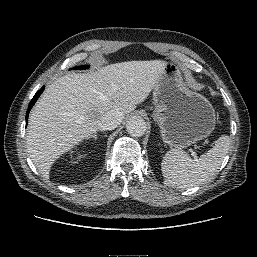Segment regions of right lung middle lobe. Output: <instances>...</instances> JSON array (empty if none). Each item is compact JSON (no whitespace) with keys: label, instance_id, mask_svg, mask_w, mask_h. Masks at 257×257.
I'll list each match as a JSON object with an SVG mask.
<instances>
[{"label":"right lung middle lobe","instance_id":"1","mask_svg":"<svg viewBox=\"0 0 257 257\" xmlns=\"http://www.w3.org/2000/svg\"><path fill=\"white\" fill-rule=\"evenodd\" d=\"M88 66H77V67H74L73 69H85L87 68Z\"/></svg>","mask_w":257,"mask_h":257}]
</instances>
